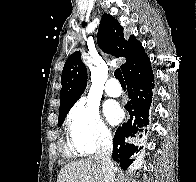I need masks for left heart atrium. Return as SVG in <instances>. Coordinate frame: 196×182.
<instances>
[{
    "mask_svg": "<svg viewBox=\"0 0 196 182\" xmlns=\"http://www.w3.org/2000/svg\"><path fill=\"white\" fill-rule=\"evenodd\" d=\"M104 113L111 124H117L123 118V111L115 102L106 103Z\"/></svg>",
    "mask_w": 196,
    "mask_h": 182,
    "instance_id": "obj_1",
    "label": "left heart atrium"
}]
</instances>
